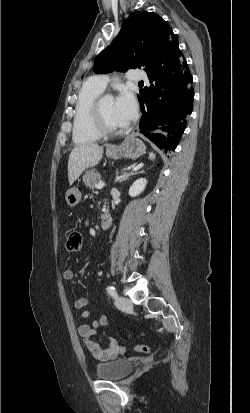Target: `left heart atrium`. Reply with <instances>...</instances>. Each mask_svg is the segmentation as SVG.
<instances>
[{"mask_svg": "<svg viewBox=\"0 0 250 413\" xmlns=\"http://www.w3.org/2000/svg\"><path fill=\"white\" fill-rule=\"evenodd\" d=\"M115 109L122 125L131 123L137 116L138 106L135 97L128 90H122L115 99Z\"/></svg>", "mask_w": 250, "mask_h": 413, "instance_id": "1", "label": "left heart atrium"}]
</instances>
